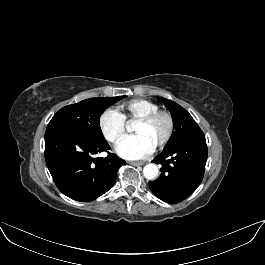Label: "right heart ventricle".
<instances>
[{
	"instance_id": "1",
	"label": "right heart ventricle",
	"mask_w": 265,
	"mask_h": 265,
	"mask_svg": "<svg viewBox=\"0 0 265 265\" xmlns=\"http://www.w3.org/2000/svg\"><path fill=\"white\" fill-rule=\"evenodd\" d=\"M158 109L159 106L155 102L147 99H133L121 104L118 111L124 121H131Z\"/></svg>"
}]
</instances>
